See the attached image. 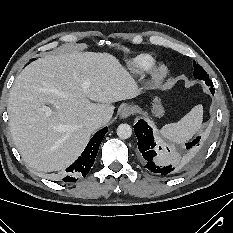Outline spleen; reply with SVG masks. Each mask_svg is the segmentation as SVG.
Segmentation results:
<instances>
[{
	"label": "spleen",
	"mask_w": 233,
	"mask_h": 233,
	"mask_svg": "<svg viewBox=\"0 0 233 233\" xmlns=\"http://www.w3.org/2000/svg\"><path fill=\"white\" fill-rule=\"evenodd\" d=\"M202 119L203 107L202 105H197L177 123H170L163 126L160 134L171 142L183 144L201 129Z\"/></svg>",
	"instance_id": "spleen-1"
}]
</instances>
